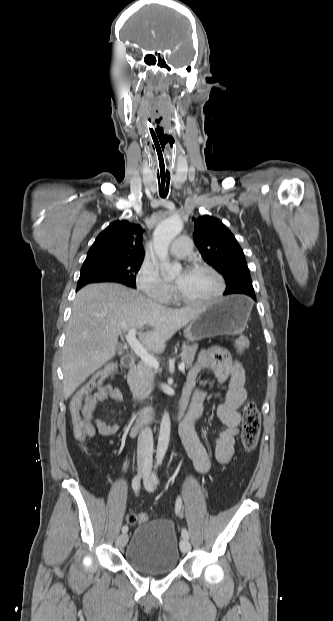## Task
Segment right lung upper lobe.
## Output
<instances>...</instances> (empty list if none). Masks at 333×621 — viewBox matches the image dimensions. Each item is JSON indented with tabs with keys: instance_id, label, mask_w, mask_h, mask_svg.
I'll return each instance as SVG.
<instances>
[{
	"instance_id": "1",
	"label": "right lung upper lobe",
	"mask_w": 333,
	"mask_h": 621,
	"mask_svg": "<svg viewBox=\"0 0 333 621\" xmlns=\"http://www.w3.org/2000/svg\"><path fill=\"white\" fill-rule=\"evenodd\" d=\"M142 236L143 230L139 224L126 220L115 221L97 236L87 253L86 260L107 258L143 260Z\"/></svg>"
}]
</instances>
